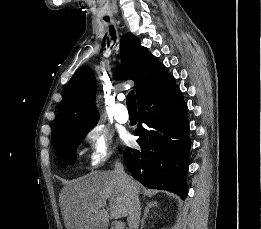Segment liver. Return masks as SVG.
I'll use <instances>...</instances> for the list:
<instances>
[{"label":"liver","mask_w":261,"mask_h":229,"mask_svg":"<svg viewBox=\"0 0 261 229\" xmlns=\"http://www.w3.org/2000/svg\"><path fill=\"white\" fill-rule=\"evenodd\" d=\"M136 193H141L140 183L133 181ZM110 199L112 219L128 217L129 197L121 177L113 171H94L71 181L64 199V219L67 229H107L109 213L105 201Z\"/></svg>","instance_id":"6515ba94"}]
</instances>
